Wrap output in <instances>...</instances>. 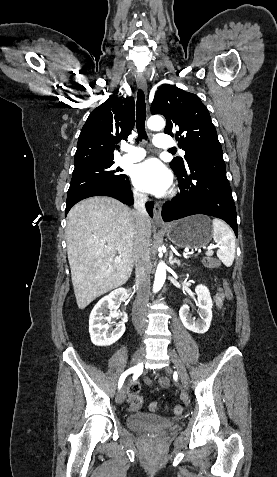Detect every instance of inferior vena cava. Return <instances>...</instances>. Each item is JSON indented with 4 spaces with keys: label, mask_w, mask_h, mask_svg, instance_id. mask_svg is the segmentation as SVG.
<instances>
[{
    "label": "inferior vena cava",
    "mask_w": 277,
    "mask_h": 477,
    "mask_svg": "<svg viewBox=\"0 0 277 477\" xmlns=\"http://www.w3.org/2000/svg\"><path fill=\"white\" fill-rule=\"evenodd\" d=\"M147 200L148 197L145 194H134V261L136 266L137 298L133 307L132 321L135 329L139 333L146 328L145 311L150 295L151 261L148 240V225L150 219L145 208Z\"/></svg>",
    "instance_id": "obj_1"
}]
</instances>
